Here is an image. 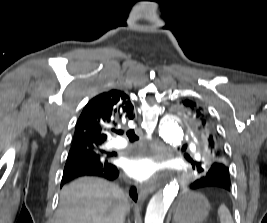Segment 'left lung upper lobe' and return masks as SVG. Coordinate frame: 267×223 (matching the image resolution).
Listing matches in <instances>:
<instances>
[{
  "mask_svg": "<svg viewBox=\"0 0 267 223\" xmlns=\"http://www.w3.org/2000/svg\"><path fill=\"white\" fill-rule=\"evenodd\" d=\"M201 149V158L191 160L195 171H227V154L216 124L208 111L195 101L184 99L175 104Z\"/></svg>",
  "mask_w": 267,
  "mask_h": 223,
  "instance_id": "5c2ea615",
  "label": "left lung upper lobe"
}]
</instances>
